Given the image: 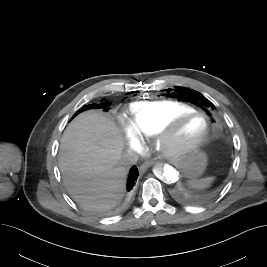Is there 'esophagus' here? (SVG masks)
<instances>
[{
	"label": "esophagus",
	"mask_w": 267,
	"mask_h": 267,
	"mask_svg": "<svg viewBox=\"0 0 267 267\" xmlns=\"http://www.w3.org/2000/svg\"><path fill=\"white\" fill-rule=\"evenodd\" d=\"M153 164V162H145L140 166V171L144 172L147 168H149L151 165Z\"/></svg>",
	"instance_id": "1"
}]
</instances>
